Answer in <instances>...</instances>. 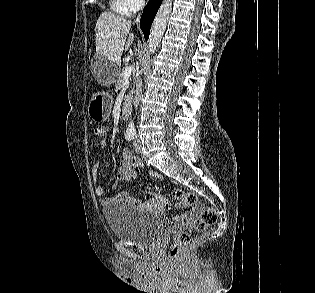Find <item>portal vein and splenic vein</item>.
<instances>
[{
    "mask_svg": "<svg viewBox=\"0 0 315 293\" xmlns=\"http://www.w3.org/2000/svg\"><path fill=\"white\" fill-rule=\"evenodd\" d=\"M134 68L132 66H129V67H125L122 71V76L126 79H128L132 72H133Z\"/></svg>",
    "mask_w": 315,
    "mask_h": 293,
    "instance_id": "obj_1",
    "label": "portal vein and splenic vein"
}]
</instances>
